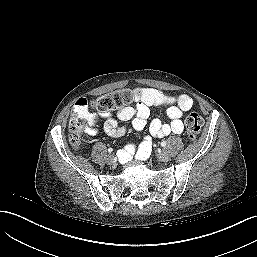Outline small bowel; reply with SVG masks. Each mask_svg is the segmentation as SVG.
Wrapping results in <instances>:
<instances>
[{"instance_id":"1","label":"small bowel","mask_w":257,"mask_h":257,"mask_svg":"<svg viewBox=\"0 0 257 257\" xmlns=\"http://www.w3.org/2000/svg\"><path fill=\"white\" fill-rule=\"evenodd\" d=\"M139 94L135 106L121 109L115 117L109 113L96 115L88 112L90 124L102 119L105 132L112 137H118L125 132V129L119 126L120 122L131 121L133 128L136 131H141L147 124L150 107L166 108L169 122L164 123L159 119H153L149 125L150 135L137 148L129 145L121 150V161H127L133 154H136V158L140 160L146 159L151 151V137L162 138L170 134H181L184 130L182 117L193 105L192 98L186 94L172 96L154 88L140 89ZM87 132L91 135L97 133L96 129L93 128L88 129Z\"/></svg>"}]
</instances>
